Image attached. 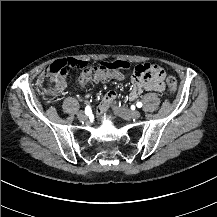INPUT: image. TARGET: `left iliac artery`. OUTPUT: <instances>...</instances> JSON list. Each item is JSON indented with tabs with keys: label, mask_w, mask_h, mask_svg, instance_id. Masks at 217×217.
Here are the masks:
<instances>
[{
	"label": "left iliac artery",
	"mask_w": 217,
	"mask_h": 217,
	"mask_svg": "<svg viewBox=\"0 0 217 217\" xmlns=\"http://www.w3.org/2000/svg\"><path fill=\"white\" fill-rule=\"evenodd\" d=\"M142 103L141 102H137V104H136V106L138 107V108H141L142 107Z\"/></svg>",
	"instance_id": "left-iliac-artery-1"
}]
</instances>
